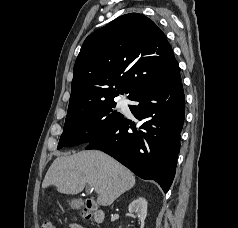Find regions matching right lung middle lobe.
<instances>
[{
	"instance_id": "1",
	"label": "right lung middle lobe",
	"mask_w": 238,
	"mask_h": 228,
	"mask_svg": "<svg viewBox=\"0 0 238 228\" xmlns=\"http://www.w3.org/2000/svg\"><path fill=\"white\" fill-rule=\"evenodd\" d=\"M115 107L116 102L110 100L67 113L57 149L88 143L116 125L124 116Z\"/></svg>"
}]
</instances>
